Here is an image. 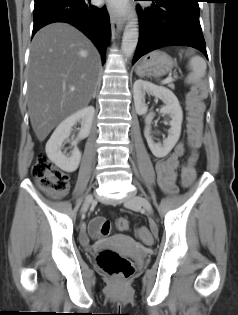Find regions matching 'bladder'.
I'll list each match as a JSON object with an SVG mask.
<instances>
[{
  "mask_svg": "<svg viewBox=\"0 0 238 315\" xmlns=\"http://www.w3.org/2000/svg\"><path fill=\"white\" fill-rule=\"evenodd\" d=\"M115 249H131V248H115Z\"/></svg>",
  "mask_w": 238,
  "mask_h": 315,
  "instance_id": "31cf9c89",
  "label": "bladder"
}]
</instances>
